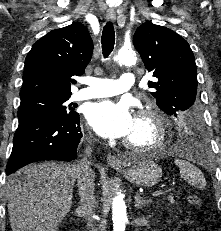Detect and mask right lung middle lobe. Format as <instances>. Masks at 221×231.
Segmentation results:
<instances>
[{"mask_svg": "<svg viewBox=\"0 0 221 231\" xmlns=\"http://www.w3.org/2000/svg\"><path fill=\"white\" fill-rule=\"evenodd\" d=\"M69 97L34 96L21 99L17 116L19 119L34 113L51 112L62 116L72 117L78 113L68 103Z\"/></svg>", "mask_w": 221, "mask_h": 231, "instance_id": "1", "label": "right lung middle lobe"}]
</instances>
